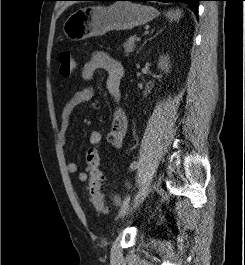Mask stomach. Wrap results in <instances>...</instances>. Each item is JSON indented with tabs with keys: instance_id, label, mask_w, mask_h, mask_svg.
Returning a JSON list of instances; mask_svg holds the SVG:
<instances>
[{
	"instance_id": "obj_1",
	"label": "stomach",
	"mask_w": 245,
	"mask_h": 265,
	"mask_svg": "<svg viewBox=\"0 0 245 265\" xmlns=\"http://www.w3.org/2000/svg\"><path fill=\"white\" fill-rule=\"evenodd\" d=\"M158 11L147 5L116 2L110 6H87L70 14L63 25L66 37L80 41L112 30H130L153 20Z\"/></svg>"
}]
</instances>
